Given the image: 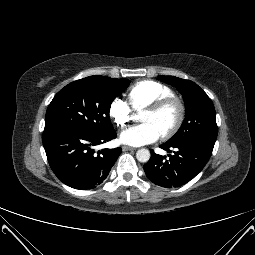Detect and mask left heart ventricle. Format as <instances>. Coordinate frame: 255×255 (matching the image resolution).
I'll return each instance as SVG.
<instances>
[{"label": "left heart ventricle", "mask_w": 255, "mask_h": 255, "mask_svg": "<svg viewBox=\"0 0 255 255\" xmlns=\"http://www.w3.org/2000/svg\"><path fill=\"white\" fill-rule=\"evenodd\" d=\"M177 117V108L172 105L161 112L153 113L144 111L141 115V122L152 124L161 134L166 131L175 122Z\"/></svg>", "instance_id": "b2bd125f"}]
</instances>
